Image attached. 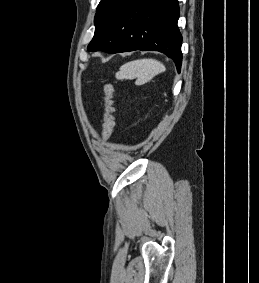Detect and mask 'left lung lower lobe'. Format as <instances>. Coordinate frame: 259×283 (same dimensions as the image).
<instances>
[{"mask_svg": "<svg viewBox=\"0 0 259 283\" xmlns=\"http://www.w3.org/2000/svg\"><path fill=\"white\" fill-rule=\"evenodd\" d=\"M178 0H125L91 52L160 51L181 69L182 36L177 27Z\"/></svg>", "mask_w": 259, "mask_h": 283, "instance_id": "0a47b994", "label": "left lung lower lobe"}]
</instances>
